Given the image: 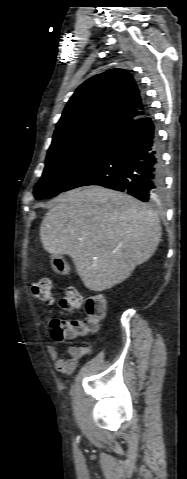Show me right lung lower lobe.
<instances>
[{
  "instance_id": "98d812e1",
  "label": "right lung lower lobe",
  "mask_w": 187,
  "mask_h": 479,
  "mask_svg": "<svg viewBox=\"0 0 187 479\" xmlns=\"http://www.w3.org/2000/svg\"><path fill=\"white\" fill-rule=\"evenodd\" d=\"M87 185L125 191L144 202L162 197L165 184L160 141L148 114L124 129L63 192Z\"/></svg>"
}]
</instances>
